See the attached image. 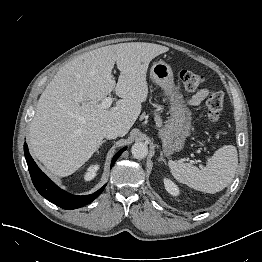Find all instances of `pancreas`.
Here are the masks:
<instances>
[{"label": "pancreas", "mask_w": 262, "mask_h": 262, "mask_svg": "<svg viewBox=\"0 0 262 262\" xmlns=\"http://www.w3.org/2000/svg\"><path fill=\"white\" fill-rule=\"evenodd\" d=\"M155 121H156V124L159 126V125H161V118L158 116V115H156V117H155Z\"/></svg>", "instance_id": "obj_1"}]
</instances>
